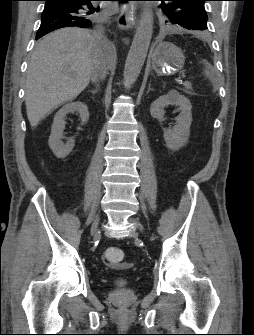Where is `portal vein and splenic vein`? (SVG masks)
Returning <instances> with one entry per match:
<instances>
[{"label":"portal vein and splenic vein","instance_id":"obj_1","mask_svg":"<svg viewBox=\"0 0 254 335\" xmlns=\"http://www.w3.org/2000/svg\"><path fill=\"white\" fill-rule=\"evenodd\" d=\"M183 77H185V76H183ZM182 81H183L182 79H177L178 83H182Z\"/></svg>","mask_w":254,"mask_h":335}]
</instances>
